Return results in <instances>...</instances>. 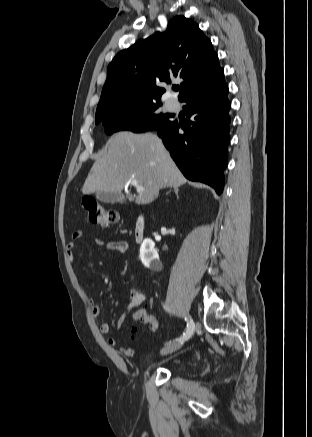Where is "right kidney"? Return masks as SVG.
I'll list each match as a JSON object with an SVG mask.
<instances>
[{"label": "right kidney", "mask_w": 312, "mask_h": 437, "mask_svg": "<svg viewBox=\"0 0 312 437\" xmlns=\"http://www.w3.org/2000/svg\"><path fill=\"white\" fill-rule=\"evenodd\" d=\"M154 246L155 244L151 239H144L140 247L139 257L144 266L154 270H159L161 269L162 264L159 260L157 251L154 249Z\"/></svg>", "instance_id": "1"}]
</instances>
